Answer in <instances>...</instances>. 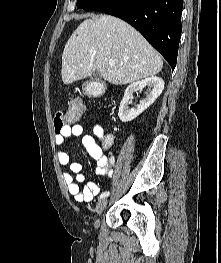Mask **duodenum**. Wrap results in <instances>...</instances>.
<instances>
[{
  "label": "duodenum",
  "mask_w": 221,
  "mask_h": 263,
  "mask_svg": "<svg viewBox=\"0 0 221 263\" xmlns=\"http://www.w3.org/2000/svg\"><path fill=\"white\" fill-rule=\"evenodd\" d=\"M93 92L95 93V95H99L102 92V88L99 86H95L93 88Z\"/></svg>",
  "instance_id": "410a0bca"
}]
</instances>
